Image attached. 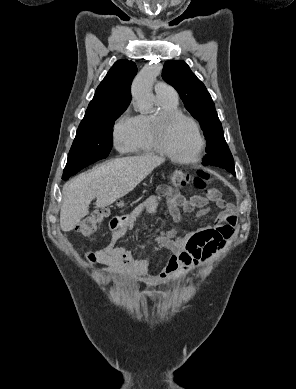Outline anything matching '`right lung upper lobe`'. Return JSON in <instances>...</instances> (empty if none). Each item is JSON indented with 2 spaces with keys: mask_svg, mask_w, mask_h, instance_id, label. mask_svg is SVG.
I'll return each instance as SVG.
<instances>
[{
  "mask_svg": "<svg viewBox=\"0 0 296 389\" xmlns=\"http://www.w3.org/2000/svg\"><path fill=\"white\" fill-rule=\"evenodd\" d=\"M137 73L136 64L119 60L97 87L84 118L105 113L114 108L127 107L131 100L130 86Z\"/></svg>",
  "mask_w": 296,
  "mask_h": 389,
  "instance_id": "obj_1",
  "label": "right lung upper lobe"
}]
</instances>
